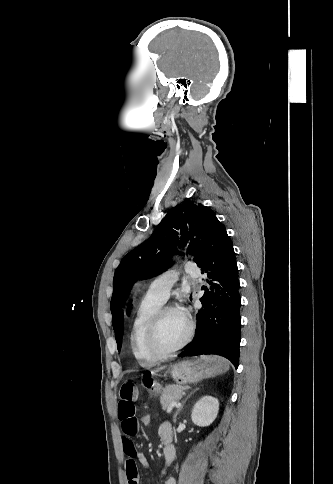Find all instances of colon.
<instances>
[{
    "mask_svg": "<svg viewBox=\"0 0 333 484\" xmlns=\"http://www.w3.org/2000/svg\"><path fill=\"white\" fill-rule=\"evenodd\" d=\"M138 421L141 428H148L151 425L152 418L150 414L144 413L139 416Z\"/></svg>",
    "mask_w": 333,
    "mask_h": 484,
    "instance_id": "colon-1",
    "label": "colon"
}]
</instances>
